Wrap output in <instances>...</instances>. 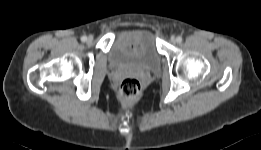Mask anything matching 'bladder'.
Listing matches in <instances>:
<instances>
[{
    "instance_id": "1",
    "label": "bladder",
    "mask_w": 261,
    "mask_h": 150,
    "mask_svg": "<svg viewBox=\"0 0 261 150\" xmlns=\"http://www.w3.org/2000/svg\"><path fill=\"white\" fill-rule=\"evenodd\" d=\"M108 60L115 67H136L154 71L161 65L153 34L144 29L121 34L108 51Z\"/></svg>"
}]
</instances>
